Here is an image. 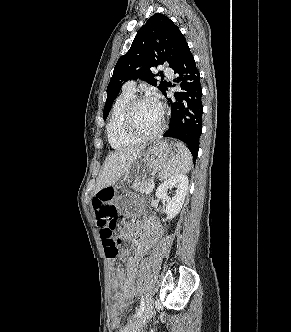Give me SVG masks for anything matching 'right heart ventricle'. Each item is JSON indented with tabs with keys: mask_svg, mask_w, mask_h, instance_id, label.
<instances>
[{
	"mask_svg": "<svg viewBox=\"0 0 291 332\" xmlns=\"http://www.w3.org/2000/svg\"><path fill=\"white\" fill-rule=\"evenodd\" d=\"M134 92L124 90L115 100L107 123V137L110 145L115 149H122L137 144L139 141L128 136L124 130L123 120L126 109Z\"/></svg>",
	"mask_w": 291,
	"mask_h": 332,
	"instance_id": "obj_1",
	"label": "right heart ventricle"
}]
</instances>
